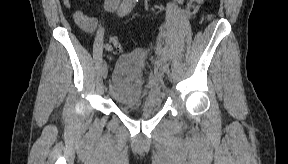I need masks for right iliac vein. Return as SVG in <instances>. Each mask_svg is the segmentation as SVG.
Masks as SVG:
<instances>
[{
	"label": "right iliac vein",
	"instance_id": "63e3f726",
	"mask_svg": "<svg viewBox=\"0 0 288 164\" xmlns=\"http://www.w3.org/2000/svg\"><path fill=\"white\" fill-rule=\"evenodd\" d=\"M108 74V67H107V63L104 62L102 65V76L105 79L107 77Z\"/></svg>",
	"mask_w": 288,
	"mask_h": 164
}]
</instances>
